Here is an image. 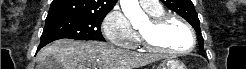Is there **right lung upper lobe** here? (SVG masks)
I'll use <instances>...</instances> for the list:
<instances>
[{
    "mask_svg": "<svg viewBox=\"0 0 246 69\" xmlns=\"http://www.w3.org/2000/svg\"><path fill=\"white\" fill-rule=\"evenodd\" d=\"M117 0H53L47 18L75 15H107Z\"/></svg>",
    "mask_w": 246,
    "mask_h": 69,
    "instance_id": "right-lung-upper-lobe-1",
    "label": "right lung upper lobe"
}]
</instances>
